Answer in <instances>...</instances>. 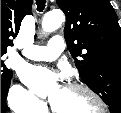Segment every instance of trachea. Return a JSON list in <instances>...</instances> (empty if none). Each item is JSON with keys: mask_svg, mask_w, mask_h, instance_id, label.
I'll return each instance as SVG.
<instances>
[{"mask_svg": "<svg viewBox=\"0 0 121 113\" xmlns=\"http://www.w3.org/2000/svg\"><path fill=\"white\" fill-rule=\"evenodd\" d=\"M46 0H36L38 11L41 12L45 8Z\"/></svg>", "mask_w": 121, "mask_h": 113, "instance_id": "3493384b", "label": "trachea"}]
</instances>
